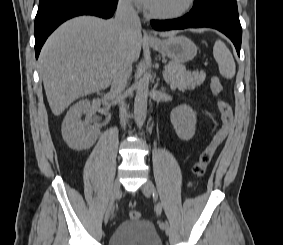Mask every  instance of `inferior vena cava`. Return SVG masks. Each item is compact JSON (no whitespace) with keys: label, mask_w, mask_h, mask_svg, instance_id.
<instances>
[{"label":"inferior vena cava","mask_w":283,"mask_h":245,"mask_svg":"<svg viewBox=\"0 0 283 245\" xmlns=\"http://www.w3.org/2000/svg\"><path fill=\"white\" fill-rule=\"evenodd\" d=\"M114 23L120 38L124 41L129 39L132 29L141 27L138 14L134 10L130 0H119ZM131 71L132 61L129 57L122 56L117 62L112 76L110 93L120 101V119L123 126H125L128 118L123 91L127 85Z\"/></svg>","instance_id":"1"}]
</instances>
